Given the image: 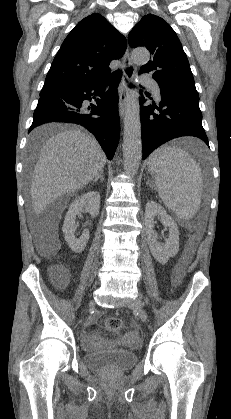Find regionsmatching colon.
Returning <instances> with one entry per match:
<instances>
[{
    "label": "colon",
    "instance_id": "colon-1",
    "mask_svg": "<svg viewBox=\"0 0 231 419\" xmlns=\"http://www.w3.org/2000/svg\"><path fill=\"white\" fill-rule=\"evenodd\" d=\"M53 272L58 274L61 273V268L60 267H55L53 269ZM105 328L113 333H119L122 329V321L115 316H111L105 319Z\"/></svg>",
    "mask_w": 231,
    "mask_h": 419
}]
</instances>
